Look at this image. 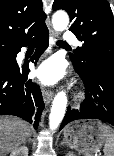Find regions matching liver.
Instances as JSON below:
<instances>
[{
	"label": "liver",
	"instance_id": "obj_1",
	"mask_svg": "<svg viewBox=\"0 0 114 156\" xmlns=\"http://www.w3.org/2000/svg\"><path fill=\"white\" fill-rule=\"evenodd\" d=\"M31 136V126L17 118L0 116V156H7Z\"/></svg>",
	"mask_w": 114,
	"mask_h": 156
}]
</instances>
